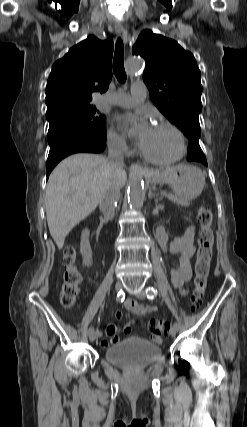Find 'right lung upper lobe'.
Returning a JSON list of instances; mask_svg holds the SVG:
<instances>
[{
    "label": "right lung upper lobe",
    "mask_w": 247,
    "mask_h": 427,
    "mask_svg": "<svg viewBox=\"0 0 247 427\" xmlns=\"http://www.w3.org/2000/svg\"><path fill=\"white\" fill-rule=\"evenodd\" d=\"M113 41L89 36L52 66L46 86L47 112L89 105L93 92H104L112 79Z\"/></svg>",
    "instance_id": "obj_1"
}]
</instances>
